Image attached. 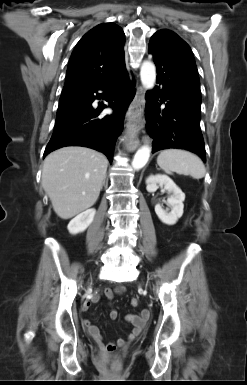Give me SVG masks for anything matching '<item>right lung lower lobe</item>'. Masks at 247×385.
Instances as JSON below:
<instances>
[{
	"mask_svg": "<svg viewBox=\"0 0 247 385\" xmlns=\"http://www.w3.org/2000/svg\"><path fill=\"white\" fill-rule=\"evenodd\" d=\"M133 87L134 82H130L124 67L108 82L60 106L57 110L54 132L45 149L44 157L64 146H84L104 153L112 162L115 142L123 129V112L135 95ZM98 90L105 91L106 101L114 111V114L102 119H98L97 116L103 105H99L96 110L92 107V102L100 96Z\"/></svg>",
	"mask_w": 247,
	"mask_h": 385,
	"instance_id": "obj_1",
	"label": "right lung lower lobe"
}]
</instances>
